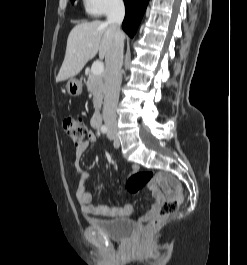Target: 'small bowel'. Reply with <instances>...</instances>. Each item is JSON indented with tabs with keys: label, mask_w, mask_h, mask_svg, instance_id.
Wrapping results in <instances>:
<instances>
[{
	"label": "small bowel",
	"mask_w": 247,
	"mask_h": 265,
	"mask_svg": "<svg viewBox=\"0 0 247 265\" xmlns=\"http://www.w3.org/2000/svg\"><path fill=\"white\" fill-rule=\"evenodd\" d=\"M95 141H96V135L93 132H88L87 142L84 145L76 148L75 166L80 174V182L78 189L76 191V200L81 208V211L86 215H94V216L110 217V218L128 217L133 212V206L131 204H125L124 206H117L116 204L94 205L91 202L92 201L91 194L86 191V184L90 178V174L88 171L82 169L80 165V160L87 149V143ZM132 171L134 173L137 172L138 166H133ZM174 195L175 192L172 189H167L164 192L162 190H157L152 192L154 202L152 203L148 211L145 213V215L141 217V220H150L152 217H154L157 214L161 203L165 199L173 198Z\"/></svg>",
	"instance_id": "c3829d8e"
}]
</instances>
